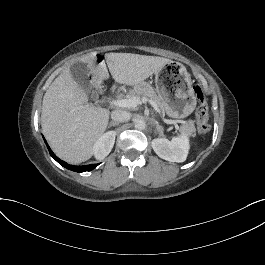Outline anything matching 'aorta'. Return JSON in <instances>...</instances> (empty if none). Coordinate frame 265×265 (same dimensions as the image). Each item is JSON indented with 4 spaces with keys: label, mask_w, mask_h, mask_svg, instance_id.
I'll return each instance as SVG.
<instances>
[{
    "label": "aorta",
    "mask_w": 265,
    "mask_h": 265,
    "mask_svg": "<svg viewBox=\"0 0 265 265\" xmlns=\"http://www.w3.org/2000/svg\"><path fill=\"white\" fill-rule=\"evenodd\" d=\"M135 128L138 130H143L146 128V122L143 119H138L135 121Z\"/></svg>",
    "instance_id": "aorta-1"
}]
</instances>
